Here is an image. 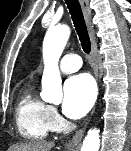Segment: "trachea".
I'll list each match as a JSON object with an SVG mask.
<instances>
[{"label":"trachea","instance_id":"3493384b","mask_svg":"<svg viewBox=\"0 0 131 151\" xmlns=\"http://www.w3.org/2000/svg\"><path fill=\"white\" fill-rule=\"evenodd\" d=\"M69 12L71 14V18L76 29V32L79 36V40L81 42V46L83 51L87 54L90 53L91 50V42L88 35L87 27L85 24L84 16L81 10V6L78 0H65Z\"/></svg>","mask_w":131,"mask_h":151}]
</instances>
